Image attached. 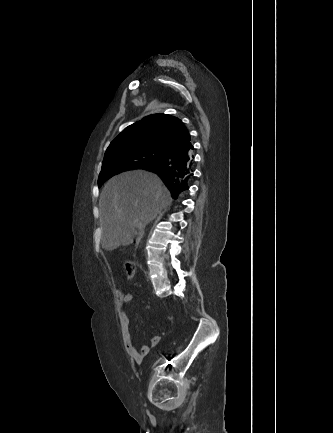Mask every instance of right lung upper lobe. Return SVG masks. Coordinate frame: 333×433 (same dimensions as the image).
<instances>
[{"label": "right lung upper lobe", "instance_id": "cb5924a9", "mask_svg": "<svg viewBox=\"0 0 333 433\" xmlns=\"http://www.w3.org/2000/svg\"><path fill=\"white\" fill-rule=\"evenodd\" d=\"M187 145H191L190 134L179 118L153 114L125 128L111 142L105 156L124 148H156L168 154Z\"/></svg>", "mask_w": 333, "mask_h": 433}]
</instances>
